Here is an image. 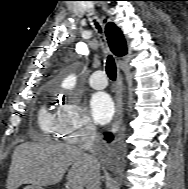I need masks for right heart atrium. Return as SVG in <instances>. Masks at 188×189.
<instances>
[{
    "mask_svg": "<svg viewBox=\"0 0 188 189\" xmlns=\"http://www.w3.org/2000/svg\"><path fill=\"white\" fill-rule=\"evenodd\" d=\"M56 123L60 135L71 143H76L95 132V125L85 109L69 99H61L56 112Z\"/></svg>",
    "mask_w": 188,
    "mask_h": 189,
    "instance_id": "obj_1",
    "label": "right heart atrium"
}]
</instances>
